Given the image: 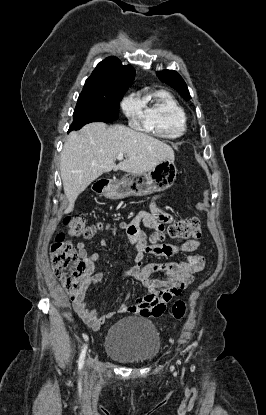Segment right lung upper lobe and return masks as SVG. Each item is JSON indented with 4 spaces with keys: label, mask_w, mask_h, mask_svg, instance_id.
Wrapping results in <instances>:
<instances>
[{
    "label": "right lung upper lobe",
    "mask_w": 266,
    "mask_h": 415,
    "mask_svg": "<svg viewBox=\"0 0 266 415\" xmlns=\"http://www.w3.org/2000/svg\"><path fill=\"white\" fill-rule=\"evenodd\" d=\"M134 76L135 69L132 66H123L118 58L108 57L97 65L80 95L109 96L125 93Z\"/></svg>",
    "instance_id": "1"
}]
</instances>
